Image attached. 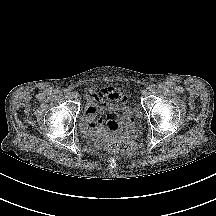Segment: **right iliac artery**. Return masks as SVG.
Listing matches in <instances>:
<instances>
[{"label":"right iliac artery","instance_id":"1","mask_svg":"<svg viewBox=\"0 0 216 216\" xmlns=\"http://www.w3.org/2000/svg\"><path fill=\"white\" fill-rule=\"evenodd\" d=\"M64 91L66 94H69L71 90L69 88H66Z\"/></svg>","mask_w":216,"mask_h":216}]
</instances>
